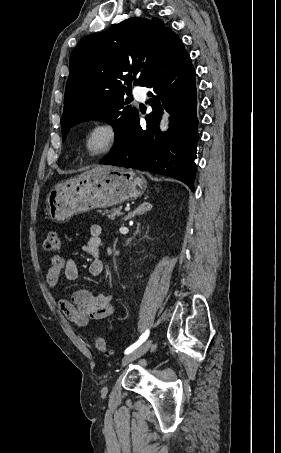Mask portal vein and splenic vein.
Masks as SVG:
<instances>
[{"instance_id":"18ae733b","label":"portal vein and splenic vein","mask_w":281,"mask_h":453,"mask_svg":"<svg viewBox=\"0 0 281 453\" xmlns=\"http://www.w3.org/2000/svg\"><path fill=\"white\" fill-rule=\"evenodd\" d=\"M124 212H131V206L124 207Z\"/></svg>"}]
</instances>
